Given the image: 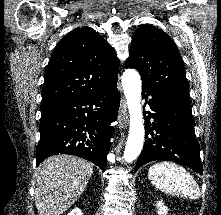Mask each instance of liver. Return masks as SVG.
<instances>
[{
  "label": "liver",
  "instance_id": "liver-1",
  "mask_svg": "<svg viewBox=\"0 0 221 215\" xmlns=\"http://www.w3.org/2000/svg\"><path fill=\"white\" fill-rule=\"evenodd\" d=\"M93 164L71 155H54L44 160L34 176L38 215H61L83 193Z\"/></svg>",
  "mask_w": 221,
  "mask_h": 215
}]
</instances>
